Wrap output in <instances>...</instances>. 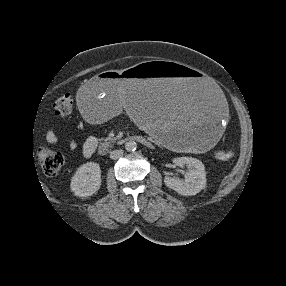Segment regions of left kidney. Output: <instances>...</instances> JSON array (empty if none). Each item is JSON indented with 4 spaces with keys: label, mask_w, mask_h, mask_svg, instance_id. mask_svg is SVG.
Instances as JSON below:
<instances>
[{
    "label": "left kidney",
    "mask_w": 286,
    "mask_h": 286,
    "mask_svg": "<svg viewBox=\"0 0 286 286\" xmlns=\"http://www.w3.org/2000/svg\"><path fill=\"white\" fill-rule=\"evenodd\" d=\"M173 163L178 167L186 166L188 172L185 180L165 177V185L178 192L180 195L191 196L199 193L206 185V172L204 164L192 157H178L173 159Z\"/></svg>",
    "instance_id": "1"
}]
</instances>
